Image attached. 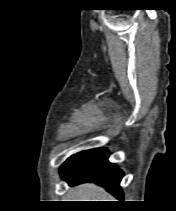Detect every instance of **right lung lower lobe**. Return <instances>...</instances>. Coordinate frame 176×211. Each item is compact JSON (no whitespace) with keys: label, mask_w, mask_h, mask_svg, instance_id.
Masks as SVG:
<instances>
[{"label":"right lung lower lobe","mask_w":176,"mask_h":211,"mask_svg":"<svg viewBox=\"0 0 176 211\" xmlns=\"http://www.w3.org/2000/svg\"><path fill=\"white\" fill-rule=\"evenodd\" d=\"M106 148L93 149L71 156L60 168L61 177L70 185L94 182L104 187L115 197L122 199L120 181L123 172L108 161Z\"/></svg>","instance_id":"obj_1"}]
</instances>
